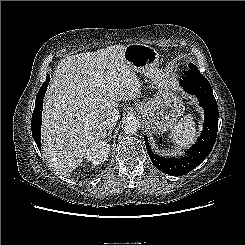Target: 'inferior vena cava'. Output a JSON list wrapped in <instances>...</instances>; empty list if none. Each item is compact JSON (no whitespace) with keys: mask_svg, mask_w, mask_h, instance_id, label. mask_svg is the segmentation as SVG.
Listing matches in <instances>:
<instances>
[{"mask_svg":"<svg viewBox=\"0 0 245 245\" xmlns=\"http://www.w3.org/2000/svg\"><path fill=\"white\" fill-rule=\"evenodd\" d=\"M116 121H117L116 117L111 115H106L102 120V124L104 128H106L107 130H112L116 125Z\"/></svg>","mask_w":245,"mask_h":245,"instance_id":"inferior-vena-cava-1","label":"inferior vena cava"}]
</instances>
